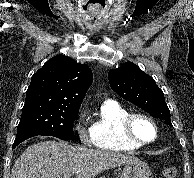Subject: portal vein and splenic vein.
I'll return each mask as SVG.
<instances>
[{"label":"portal vein and splenic vein","mask_w":194,"mask_h":178,"mask_svg":"<svg viewBox=\"0 0 194 178\" xmlns=\"http://www.w3.org/2000/svg\"><path fill=\"white\" fill-rule=\"evenodd\" d=\"M62 178H70V175H63Z\"/></svg>","instance_id":"portal-vein-and-splenic-vein-1"}]
</instances>
